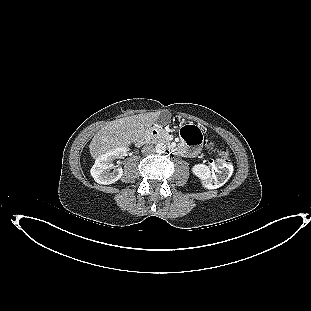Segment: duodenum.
<instances>
[{
  "label": "duodenum",
  "instance_id": "obj_1",
  "mask_svg": "<svg viewBox=\"0 0 311 311\" xmlns=\"http://www.w3.org/2000/svg\"><path fill=\"white\" fill-rule=\"evenodd\" d=\"M161 137V132L158 128H150L141 138L136 141L138 146L145 144L147 141L151 139H156ZM172 153H176L177 150L174 147L170 148Z\"/></svg>",
  "mask_w": 311,
  "mask_h": 311
}]
</instances>
